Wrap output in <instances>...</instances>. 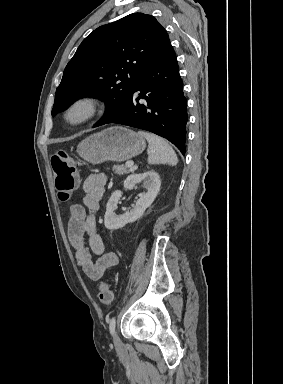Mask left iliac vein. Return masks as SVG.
I'll use <instances>...</instances> for the list:
<instances>
[{
	"label": "left iliac vein",
	"mask_w": 283,
	"mask_h": 384,
	"mask_svg": "<svg viewBox=\"0 0 283 384\" xmlns=\"http://www.w3.org/2000/svg\"><path fill=\"white\" fill-rule=\"evenodd\" d=\"M113 341H114V345H115L116 350L122 351L123 350V343L120 340V338L116 332L113 334Z\"/></svg>",
	"instance_id": "1"
}]
</instances>
